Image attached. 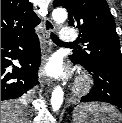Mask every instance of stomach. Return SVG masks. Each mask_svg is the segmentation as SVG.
Wrapping results in <instances>:
<instances>
[{
    "instance_id": "stomach-1",
    "label": "stomach",
    "mask_w": 122,
    "mask_h": 123,
    "mask_svg": "<svg viewBox=\"0 0 122 123\" xmlns=\"http://www.w3.org/2000/svg\"><path fill=\"white\" fill-rule=\"evenodd\" d=\"M88 117L87 115H82L79 118H77L76 123H87Z\"/></svg>"
}]
</instances>
